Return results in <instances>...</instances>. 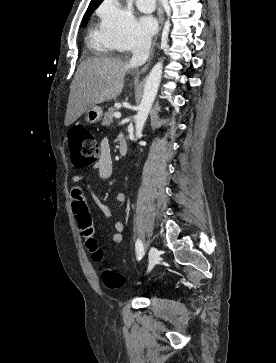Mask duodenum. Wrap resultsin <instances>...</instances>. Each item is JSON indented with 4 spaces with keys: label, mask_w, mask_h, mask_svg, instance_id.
<instances>
[{
    "label": "duodenum",
    "mask_w": 276,
    "mask_h": 363,
    "mask_svg": "<svg viewBox=\"0 0 276 363\" xmlns=\"http://www.w3.org/2000/svg\"><path fill=\"white\" fill-rule=\"evenodd\" d=\"M118 141H119L120 154L126 155L127 150H128V145H127V141H126V138L124 137V135H119Z\"/></svg>",
    "instance_id": "410a0bca"
}]
</instances>
